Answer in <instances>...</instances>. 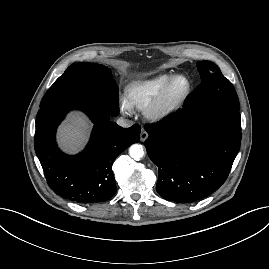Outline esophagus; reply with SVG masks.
Returning <instances> with one entry per match:
<instances>
[{"label": "esophagus", "instance_id": "obj_1", "mask_svg": "<svg viewBox=\"0 0 269 269\" xmlns=\"http://www.w3.org/2000/svg\"><path fill=\"white\" fill-rule=\"evenodd\" d=\"M148 138V133L145 129L142 128L140 133V141L144 142Z\"/></svg>", "mask_w": 269, "mask_h": 269}]
</instances>
